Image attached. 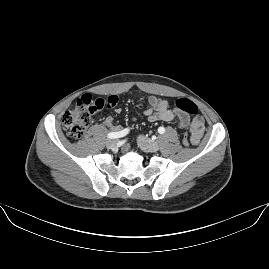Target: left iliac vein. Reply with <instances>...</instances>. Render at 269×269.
<instances>
[{
    "mask_svg": "<svg viewBox=\"0 0 269 269\" xmlns=\"http://www.w3.org/2000/svg\"><path fill=\"white\" fill-rule=\"evenodd\" d=\"M139 146L148 152H157L159 150V144L143 135L137 137Z\"/></svg>",
    "mask_w": 269,
    "mask_h": 269,
    "instance_id": "4c4485c4",
    "label": "left iliac vein"
}]
</instances>
